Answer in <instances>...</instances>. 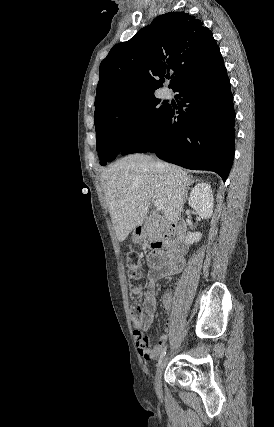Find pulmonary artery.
<instances>
[{
  "label": "pulmonary artery",
  "mask_w": 274,
  "mask_h": 427,
  "mask_svg": "<svg viewBox=\"0 0 274 427\" xmlns=\"http://www.w3.org/2000/svg\"><path fill=\"white\" fill-rule=\"evenodd\" d=\"M170 96V91L167 88H164L161 92V97L163 99H167Z\"/></svg>",
  "instance_id": "pulmonary-artery-1"
}]
</instances>
